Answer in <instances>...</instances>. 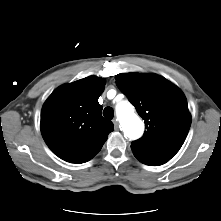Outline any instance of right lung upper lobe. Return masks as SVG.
<instances>
[{
	"instance_id": "right-lung-upper-lobe-1",
	"label": "right lung upper lobe",
	"mask_w": 221,
	"mask_h": 221,
	"mask_svg": "<svg viewBox=\"0 0 221 221\" xmlns=\"http://www.w3.org/2000/svg\"><path fill=\"white\" fill-rule=\"evenodd\" d=\"M104 88V79L89 76L58 87L45 101L41 133L61 159L71 163L89 161L114 130L112 122L101 115L98 98Z\"/></svg>"
}]
</instances>
